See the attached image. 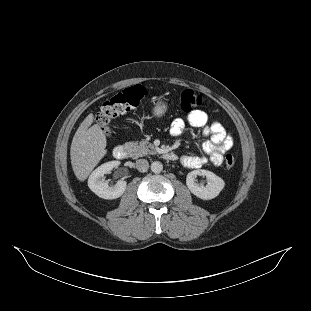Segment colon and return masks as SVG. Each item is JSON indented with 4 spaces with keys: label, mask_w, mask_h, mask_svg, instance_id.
<instances>
[{
    "label": "colon",
    "mask_w": 311,
    "mask_h": 311,
    "mask_svg": "<svg viewBox=\"0 0 311 311\" xmlns=\"http://www.w3.org/2000/svg\"><path fill=\"white\" fill-rule=\"evenodd\" d=\"M146 95L142 86H133L123 90L103 103L97 114V121L106 134H110V123L113 119L140 106ZM202 97L192 90H183L178 97L179 108L190 113L202 104ZM236 159L232 154L225 157L227 169L234 167Z\"/></svg>",
    "instance_id": "obj_1"
}]
</instances>
